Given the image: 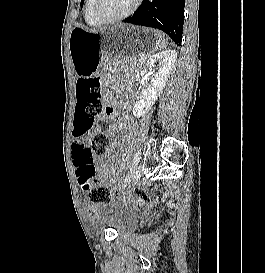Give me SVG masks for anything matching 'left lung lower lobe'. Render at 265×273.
<instances>
[{"instance_id":"0a47b994","label":"left lung lower lobe","mask_w":265,"mask_h":273,"mask_svg":"<svg viewBox=\"0 0 265 273\" xmlns=\"http://www.w3.org/2000/svg\"><path fill=\"white\" fill-rule=\"evenodd\" d=\"M184 7L185 0H144L137 12L124 22L160 29L181 45Z\"/></svg>"}]
</instances>
